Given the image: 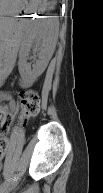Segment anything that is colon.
<instances>
[{"instance_id":"1","label":"colon","mask_w":103,"mask_h":193,"mask_svg":"<svg viewBox=\"0 0 103 193\" xmlns=\"http://www.w3.org/2000/svg\"><path fill=\"white\" fill-rule=\"evenodd\" d=\"M21 100L23 120L36 116L40 111V97L35 90H23L19 93ZM1 137H0V154L6 153L9 146L8 131L12 122V117L6 108H3L0 116Z\"/></svg>"}]
</instances>
